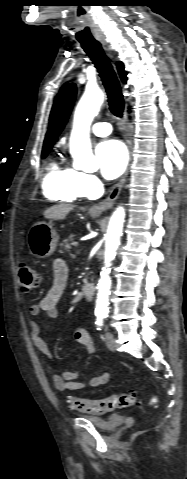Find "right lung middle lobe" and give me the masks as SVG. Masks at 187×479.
Returning <instances> with one entry per match:
<instances>
[{
	"mask_svg": "<svg viewBox=\"0 0 187 479\" xmlns=\"http://www.w3.org/2000/svg\"><path fill=\"white\" fill-rule=\"evenodd\" d=\"M49 151H44L42 152V158L46 157V155L48 154Z\"/></svg>",
	"mask_w": 187,
	"mask_h": 479,
	"instance_id": "right-lung-middle-lobe-1",
	"label": "right lung middle lobe"
}]
</instances>
